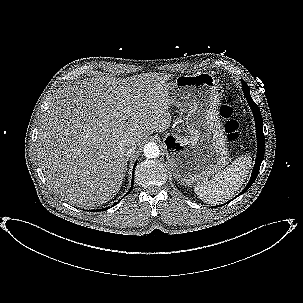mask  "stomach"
Masks as SVG:
<instances>
[{
    "label": "stomach",
    "mask_w": 303,
    "mask_h": 303,
    "mask_svg": "<svg viewBox=\"0 0 303 303\" xmlns=\"http://www.w3.org/2000/svg\"><path fill=\"white\" fill-rule=\"evenodd\" d=\"M169 105L187 114L190 136L171 134L165 149L174 178L191 185L206 180L224 168L229 153L219 116L221 92L215 77L207 72L179 75L166 85Z\"/></svg>",
    "instance_id": "0dacf381"
}]
</instances>
